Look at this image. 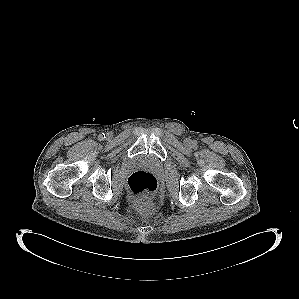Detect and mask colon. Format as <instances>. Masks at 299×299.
Listing matches in <instances>:
<instances>
[{"instance_id": "1", "label": "colon", "mask_w": 299, "mask_h": 299, "mask_svg": "<svg viewBox=\"0 0 299 299\" xmlns=\"http://www.w3.org/2000/svg\"><path fill=\"white\" fill-rule=\"evenodd\" d=\"M127 187L139 207L149 208L151 195L158 187V180L152 173L140 170L130 175Z\"/></svg>"}]
</instances>
